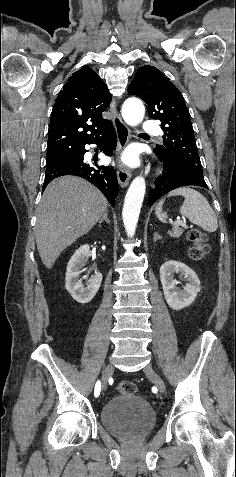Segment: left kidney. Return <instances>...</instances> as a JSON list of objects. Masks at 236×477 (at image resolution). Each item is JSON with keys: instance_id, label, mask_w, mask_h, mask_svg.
Masks as SVG:
<instances>
[{"instance_id": "obj_1", "label": "left kidney", "mask_w": 236, "mask_h": 477, "mask_svg": "<svg viewBox=\"0 0 236 477\" xmlns=\"http://www.w3.org/2000/svg\"><path fill=\"white\" fill-rule=\"evenodd\" d=\"M175 273L184 276L188 281L182 290L176 287L179 282L173 278ZM160 280L165 300L169 307L174 310H180L191 305L200 291V280L196 273L187 265L178 261L170 260L160 267Z\"/></svg>"}]
</instances>
